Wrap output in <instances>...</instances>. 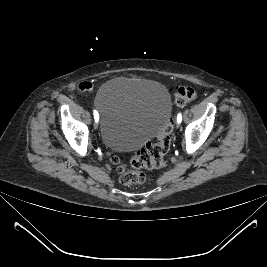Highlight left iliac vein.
Masks as SVG:
<instances>
[{"mask_svg": "<svg viewBox=\"0 0 267 267\" xmlns=\"http://www.w3.org/2000/svg\"><path fill=\"white\" fill-rule=\"evenodd\" d=\"M179 126H180V123L176 122V127L179 128Z\"/></svg>", "mask_w": 267, "mask_h": 267, "instance_id": "left-iliac-vein-1", "label": "left iliac vein"}]
</instances>
